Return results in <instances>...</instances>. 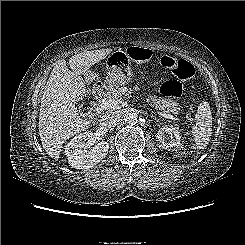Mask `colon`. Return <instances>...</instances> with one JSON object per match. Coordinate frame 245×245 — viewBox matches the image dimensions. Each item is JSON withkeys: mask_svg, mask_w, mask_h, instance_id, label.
<instances>
[{"mask_svg": "<svg viewBox=\"0 0 245 245\" xmlns=\"http://www.w3.org/2000/svg\"><path fill=\"white\" fill-rule=\"evenodd\" d=\"M129 56L136 61H146L151 57V51L143 48H130ZM161 65L172 72L180 81H189L194 75V68L191 63L186 60L173 56H163ZM178 80L165 82L160 89L163 98L175 99L182 93V85Z\"/></svg>", "mask_w": 245, "mask_h": 245, "instance_id": "5ec220e1", "label": "colon"}]
</instances>
